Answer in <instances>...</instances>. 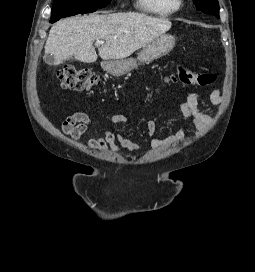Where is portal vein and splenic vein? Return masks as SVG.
<instances>
[{"label":"portal vein and splenic vein","mask_w":255,"mask_h":272,"mask_svg":"<svg viewBox=\"0 0 255 272\" xmlns=\"http://www.w3.org/2000/svg\"><path fill=\"white\" fill-rule=\"evenodd\" d=\"M103 43H104L103 40H97V41H96V45H102Z\"/></svg>","instance_id":"obj_1"}]
</instances>
